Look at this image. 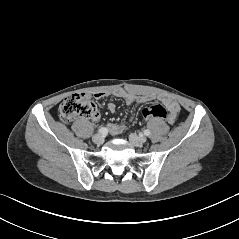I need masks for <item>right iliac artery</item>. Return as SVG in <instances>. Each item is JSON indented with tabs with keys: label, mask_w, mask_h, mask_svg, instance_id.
I'll list each match as a JSON object with an SVG mask.
<instances>
[{
	"label": "right iliac artery",
	"mask_w": 239,
	"mask_h": 239,
	"mask_svg": "<svg viewBox=\"0 0 239 239\" xmlns=\"http://www.w3.org/2000/svg\"><path fill=\"white\" fill-rule=\"evenodd\" d=\"M98 132H99L100 134H103V135H105V134H107V133H108V129H107V128H105V127H103V128H100V129L98 130Z\"/></svg>",
	"instance_id": "1"
}]
</instances>
